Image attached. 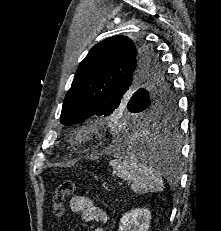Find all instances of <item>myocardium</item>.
<instances>
[{"instance_id": "obj_1", "label": "myocardium", "mask_w": 221, "mask_h": 231, "mask_svg": "<svg viewBox=\"0 0 221 231\" xmlns=\"http://www.w3.org/2000/svg\"><path fill=\"white\" fill-rule=\"evenodd\" d=\"M95 140V135L93 131L84 126L78 132V143L83 147H89L93 145Z\"/></svg>"}]
</instances>
